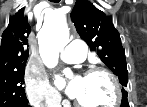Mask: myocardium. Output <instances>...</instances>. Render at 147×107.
Masks as SVG:
<instances>
[{
  "label": "myocardium",
  "mask_w": 147,
  "mask_h": 107,
  "mask_svg": "<svg viewBox=\"0 0 147 107\" xmlns=\"http://www.w3.org/2000/svg\"><path fill=\"white\" fill-rule=\"evenodd\" d=\"M94 75H105L109 79V81L111 82V84L113 86V93H114L113 101L109 105L101 106V107H116V106H118L121 102L122 90H121V86H120V83H119L117 77L111 71H109L108 69L103 68V67H92L85 73V77H91ZM74 104L76 107H89V106L79 102L78 100H75Z\"/></svg>",
  "instance_id": "obj_1"
}]
</instances>
